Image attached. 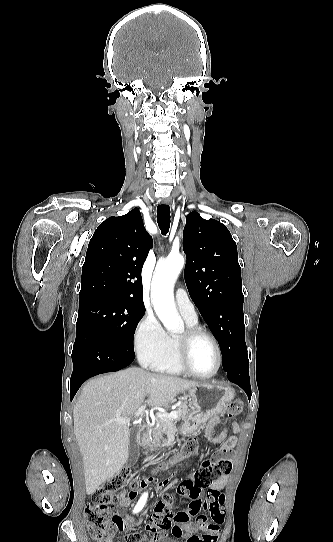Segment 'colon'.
I'll list each match as a JSON object with an SVG mask.
<instances>
[{
  "mask_svg": "<svg viewBox=\"0 0 333 542\" xmlns=\"http://www.w3.org/2000/svg\"><path fill=\"white\" fill-rule=\"evenodd\" d=\"M243 409L241 400H234L227 407L230 418L238 417ZM199 442L196 438H189L178 452L171 454L167 462L154 465L146 470V474L138 479L130 481L131 469L124 468L121 473L104 481L102 487L97 489L92 499L86 504L84 510L85 523L94 539L113 536L116 533V525L122 522V512L128 497L134 496L140 483L148 481L153 475L167 469L168 465L180 460L188 459L196 455ZM232 469L231 462L227 459L216 462L205 461L202 467L195 471V481H185L182 494L193 501H199L201 505H189L187 512L182 509L173 511L169 508L167 500H157L155 510L149 517L148 531L154 534H162L163 531L172 530L176 535L182 533L179 526L187 524V514L193 517L197 525H204L202 542H211L210 535H217L221 524L225 519V496L218 492L212 481L228 474ZM201 494H206V500L200 499ZM210 515H207L209 514ZM155 535L145 537L143 533L133 532L125 535V542H155ZM197 539H192L194 541Z\"/></svg>",
  "mask_w": 333,
  "mask_h": 542,
  "instance_id": "obj_1",
  "label": "colon"
}]
</instances>
